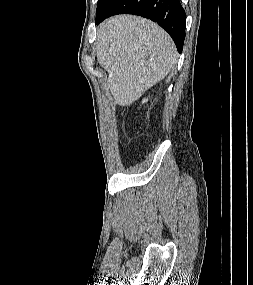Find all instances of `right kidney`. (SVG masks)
<instances>
[{"mask_svg":"<svg viewBox=\"0 0 253 285\" xmlns=\"http://www.w3.org/2000/svg\"><path fill=\"white\" fill-rule=\"evenodd\" d=\"M148 101V99H144L143 101H142V103L144 104V103H146Z\"/></svg>","mask_w":253,"mask_h":285,"instance_id":"ca27d5eb","label":"right kidney"}]
</instances>
